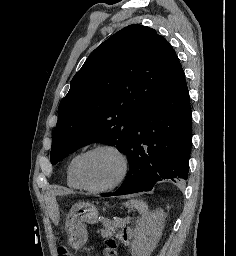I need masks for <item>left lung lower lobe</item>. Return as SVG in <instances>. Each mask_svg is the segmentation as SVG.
Masks as SVG:
<instances>
[{"label":"left lung lower lobe","instance_id":"0a47b994","mask_svg":"<svg viewBox=\"0 0 236 256\" xmlns=\"http://www.w3.org/2000/svg\"><path fill=\"white\" fill-rule=\"evenodd\" d=\"M184 76L135 120L125 152L128 175L117 191L103 197L150 191L163 179L187 180L192 118Z\"/></svg>","mask_w":236,"mask_h":256}]
</instances>
